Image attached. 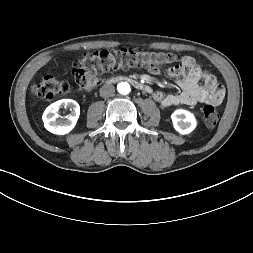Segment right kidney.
<instances>
[{
  "label": "right kidney",
  "mask_w": 253,
  "mask_h": 253,
  "mask_svg": "<svg viewBox=\"0 0 253 253\" xmlns=\"http://www.w3.org/2000/svg\"><path fill=\"white\" fill-rule=\"evenodd\" d=\"M60 108H69L71 113L66 116L65 120L57 119ZM80 114L79 104L72 99L58 100L49 105L43 113V122L45 128L57 135L69 133L76 125Z\"/></svg>",
  "instance_id": "1"
}]
</instances>
